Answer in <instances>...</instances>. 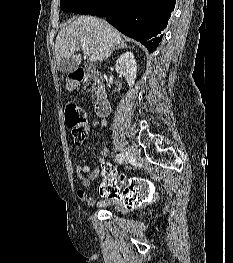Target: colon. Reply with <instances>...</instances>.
Returning <instances> with one entry per match:
<instances>
[{
	"mask_svg": "<svg viewBox=\"0 0 233 263\" xmlns=\"http://www.w3.org/2000/svg\"><path fill=\"white\" fill-rule=\"evenodd\" d=\"M65 122L75 143L79 144L86 139L89 127L80 107L68 105L65 109ZM121 175H116L115 171H101L105 180L101 186V195H107V199L112 202H122L123 208H145L147 202L153 201L155 182H147L146 178L127 177V171H122Z\"/></svg>",
	"mask_w": 233,
	"mask_h": 263,
	"instance_id": "1",
	"label": "colon"
}]
</instances>
